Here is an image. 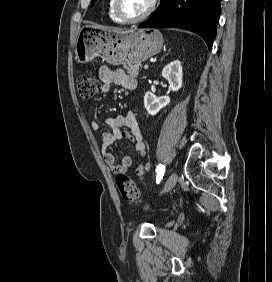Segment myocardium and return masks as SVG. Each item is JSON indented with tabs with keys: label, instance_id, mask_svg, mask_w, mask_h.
I'll return each mask as SVG.
<instances>
[{
	"label": "myocardium",
	"instance_id": "myocardium-1",
	"mask_svg": "<svg viewBox=\"0 0 272 282\" xmlns=\"http://www.w3.org/2000/svg\"><path fill=\"white\" fill-rule=\"evenodd\" d=\"M157 3H158V0H152L148 10L143 13L142 15L140 16H137V17H130L128 15H126L122 10H121V7H120V0H113V9H114V12L115 14L117 15L118 18H120L122 21L126 22V23H137V22H140L146 18H148L157 8Z\"/></svg>",
	"mask_w": 272,
	"mask_h": 282
}]
</instances>
